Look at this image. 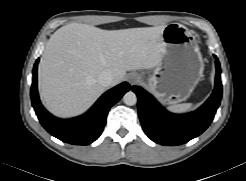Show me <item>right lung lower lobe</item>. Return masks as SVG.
<instances>
[{
  "label": "right lung lower lobe",
  "mask_w": 246,
  "mask_h": 181,
  "mask_svg": "<svg viewBox=\"0 0 246 181\" xmlns=\"http://www.w3.org/2000/svg\"><path fill=\"white\" fill-rule=\"evenodd\" d=\"M38 62L39 58L33 68L31 101L42 126L51 135L69 144L88 145L95 141L103 131L109 109L130 90V85L127 82H123L108 90L98 99L87 114L70 120H61L48 113L38 97Z\"/></svg>",
  "instance_id": "obj_1"
}]
</instances>
